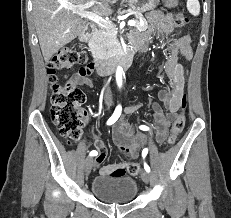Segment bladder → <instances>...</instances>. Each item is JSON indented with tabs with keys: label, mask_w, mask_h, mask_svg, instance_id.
<instances>
[{
	"label": "bladder",
	"mask_w": 231,
	"mask_h": 218,
	"mask_svg": "<svg viewBox=\"0 0 231 218\" xmlns=\"http://www.w3.org/2000/svg\"><path fill=\"white\" fill-rule=\"evenodd\" d=\"M92 193L106 203H127L137 194V183L129 176H97L91 185Z\"/></svg>",
	"instance_id": "31cf9c89"
}]
</instances>
